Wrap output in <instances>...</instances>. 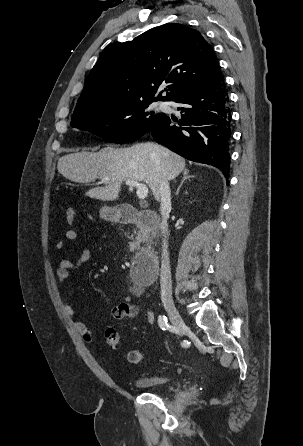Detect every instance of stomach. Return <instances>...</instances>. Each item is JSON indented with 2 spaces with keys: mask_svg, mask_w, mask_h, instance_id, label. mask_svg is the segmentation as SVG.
Listing matches in <instances>:
<instances>
[{
  "mask_svg": "<svg viewBox=\"0 0 303 446\" xmlns=\"http://www.w3.org/2000/svg\"><path fill=\"white\" fill-rule=\"evenodd\" d=\"M100 216L105 220L113 221L119 217V214L114 208L102 207L100 209Z\"/></svg>",
  "mask_w": 303,
  "mask_h": 446,
  "instance_id": "stomach-1",
  "label": "stomach"
}]
</instances>
